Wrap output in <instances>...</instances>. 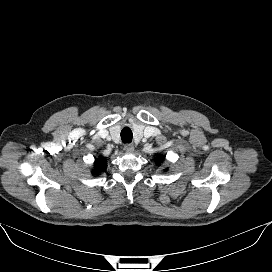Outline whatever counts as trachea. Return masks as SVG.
<instances>
[{"mask_svg": "<svg viewBox=\"0 0 272 272\" xmlns=\"http://www.w3.org/2000/svg\"><path fill=\"white\" fill-rule=\"evenodd\" d=\"M132 131L130 128L125 127L121 131V139L123 143H131L132 142Z\"/></svg>", "mask_w": 272, "mask_h": 272, "instance_id": "3493384b", "label": "trachea"}]
</instances>
